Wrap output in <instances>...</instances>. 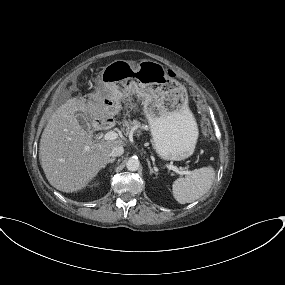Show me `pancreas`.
<instances>
[{"label": "pancreas", "mask_w": 285, "mask_h": 285, "mask_svg": "<svg viewBox=\"0 0 285 285\" xmlns=\"http://www.w3.org/2000/svg\"><path fill=\"white\" fill-rule=\"evenodd\" d=\"M123 129L127 132V133H130V132H134L138 129H141V130H146L147 129V126L144 125V124H141L139 121L137 120H124L123 121Z\"/></svg>", "instance_id": "pancreas-1"}]
</instances>
